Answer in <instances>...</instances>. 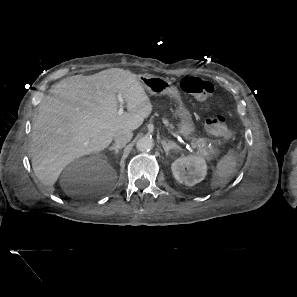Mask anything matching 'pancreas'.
Masks as SVG:
<instances>
[{
    "mask_svg": "<svg viewBox=\"0 0 297 297\" xmlns=\"http://www.w3.org/2000/svg\"><path fill=\"white\" fill-rule=\"evenodd\" d=\"M165 125H169L167 120H164ZM172 128L173 126L170 125ZM193 144L198 148V151L208 160L218 156V151L214 147H209V140L205 138H194Z\"/></svg>",
    "mask_w": 297,
    "mask_h": 297,
    "instance_id": "cf45deb5",
    "label": "pancreas"
}]
</instances>
